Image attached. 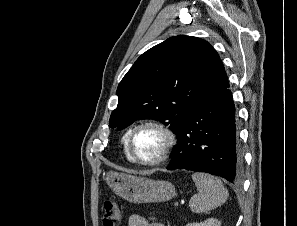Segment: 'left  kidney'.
I'll use <instances>...</instances> for the list:
<instances>
[{
	"mask_svg": "<svg viewBox=\"0 0 297 226\" xmlns=\"http://www.w3.org/2000/svg\"><path fill=\"white\" fill-rule=\"evenodd\" d=\"M186 226H221V222L218 219L209 218L200 223H188Z\"/></svg>",
	"mask_w": 297,
	"mask_h": 226,
	"instance_id": "left-kidney-1",
	"label": "left kidney"
}]
</instances>
